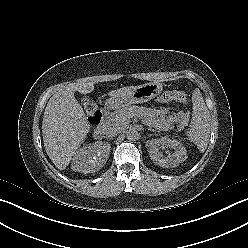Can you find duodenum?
<instances>
[{"instance_id": "obj_1", "label": "duodenum", "mask_w": 248, "mask_h": 248, "mask_svg": "<svg viewBox=\"0 0 248 248\" xmlns=\"http://www.w3.org/2000/svg\"><path fill=\"white\" fill-rule=\"evenodd\" d=\"M107 112L108 110L104 108L103 111L102 112L100 111L99 114L95 116L93 119V124H94L93 135L97 139L103 137L105 133Z\"/></svg>"}]
</instances>
